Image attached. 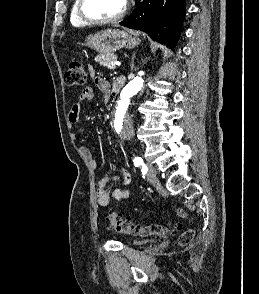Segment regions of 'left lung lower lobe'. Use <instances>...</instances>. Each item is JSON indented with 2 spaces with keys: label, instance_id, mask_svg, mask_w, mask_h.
I'll use <instances>...</instances> for the list:
<instances>
[{
  "label": "left lung lower lobe",
  "instance_id": "left-lung-lower-lobe-1",
  "mask_svg": "<svg viewBox=\"0 0 259 294\" xmlns=\"http://www.w3.org/2000/svg\"><path fill=\"white\" fill-rule=\"evenodd\" d=\"M132 14L122 26L142 30L152 39L175 47L184 19L185 0H136Z\"/></svg>",
  "mask_w": 259,
  "mask_h": 294
}]
</instances>
